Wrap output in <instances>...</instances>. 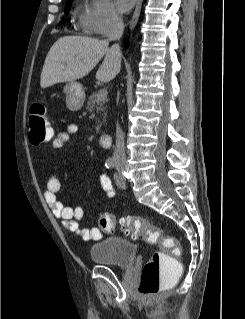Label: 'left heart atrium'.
Listing matches in <instances>:
<instances>
[{
  "label": "left heart atrium",
  "instance_id": "left-heart-atrium-1",
  "mask_svg": "<svg viewBox=\"0 0 245 319\" xmlns=\"http://www.w3.org/2000/svg\"><path fill=\"white\" fill-rule=\"evenodd\" d=\"M136 0H116L118 9L122 12H128L134 6Z\"/></svg>",
  "mask_w": 245,
  "mask_h": 319
}]
</instances>
